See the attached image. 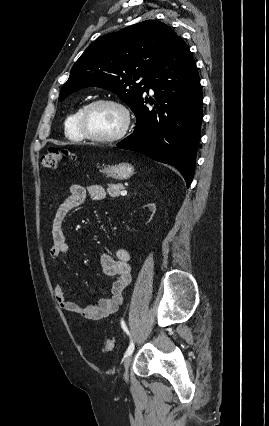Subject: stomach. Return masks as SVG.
<instances>
[{"mask_svg": "<svg viewBox=\"0 0 269 426\" xmlns=\"http://www.w3.org/2000/svg\"><path fill=\"white\" fill-rule=\"evenodd\" d=\"M101 172L107 177L124 180L130 178L134 174V167L129 163L123 162L105 167Z\"/></svg>", "mask_w": 269, "mask_h": 426, "instance_id": "obj_1", "label": "stomach"}]
</instances>
